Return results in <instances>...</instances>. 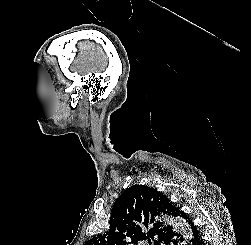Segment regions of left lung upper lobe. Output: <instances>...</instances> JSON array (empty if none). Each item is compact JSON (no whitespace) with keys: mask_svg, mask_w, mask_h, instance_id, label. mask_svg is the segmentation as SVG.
Segmentation results:
<instances>
[{"mask_svg":"<svg viewBox=\"0 0 251 245\" xmlns=\"http://www.w3.org/2000/svg\"><path fill=\"white\" fill-rule=\"evenodd\" d=\"M166 213L181 217L182 210L166 195L152 187L133 185L127 188L114 203L109 230L88 240L85 245H131L148 240L154 245L165 242L175 233L171 226L154 222V216ZM149 216L153 219L149 221Z\"/></svg>","mask_w":251,"mask_h":245,"instance_id":"left-lung-upper-lobe-1","label":"left lung upper lobe"}]
</instances>
